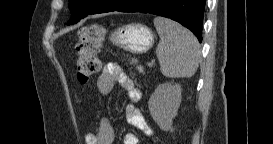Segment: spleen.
Instances as JSON below:
<instances>
[{
    "instance_id": "spleen-1",
    "label": "spleen",
    "mask_w": 273,
    "mask_h": 144,
    "mask_svg": "<svg viewBox=\"0 0 273 144\" xmlns=\"http://www.w3.org/2000/svg\"><path fill=\"white\" fill-rule=\"evenodd\" d=\"M154 26L160 37L156 55L162 74L169 78L192 77L200 59L196 37L179 23L155 17Z\"/></svg>"
}]
</instances>
